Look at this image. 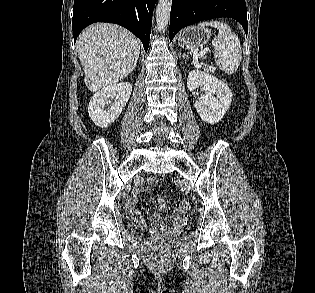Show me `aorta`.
<instances>
[{"label": "aorta", "mask_w": 315, "mask_h": 293, "mask_svg": "<svg viewBox=\"0 0 315 293\" xmlns=\"http://www.w3.org/2000/svg\"><path fill=\"white\" fill-rule=\"evenodd\" d=\"M172 0H159L156 7V23L159 32H165L171 12Z\"/></svg>", "instance_id": "aorta-1"}]
</instances>
